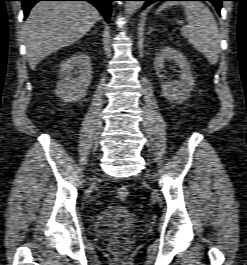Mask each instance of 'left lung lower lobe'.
Segmentation results:
<instances>
[{"instance_id":"1","label":"left lung lower lobe","mask_w":247,"mask_h":265,"mask_svg":"<svg viewBox=\"0 0 247 265\" xmlns=\"http://www.w3.org/2000/svg\"><path fill=\"white\" fill-rule=\"evenodd\" d=\"M140 1H145V4L143 6V9H145L146 7H148L149 5H151L152 3L156 2V1H173V0H140ZM199 1L211 2L214 5V7L216 8L218 14H220L222 1H226V0H199Z\"/></svg>"}]
</instances>
